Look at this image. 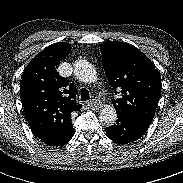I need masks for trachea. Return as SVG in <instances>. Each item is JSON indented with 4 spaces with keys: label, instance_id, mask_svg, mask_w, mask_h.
<instances>
[{
    "label": "trachea",
    "instance_id": "1",
    "mask_svg": "<svg viewBox=\"0 0 183 183\" xmlns=\"http://www.w3.org/2000/svg\"><path fill=\"white\" fill-rule=\"evenodd\" d=\"M90 98L89 91L86 88L81 89V101H86Z\"/></svg>",
    "mask_w": 183,
    "mask_h": 183
}]
</instances>
